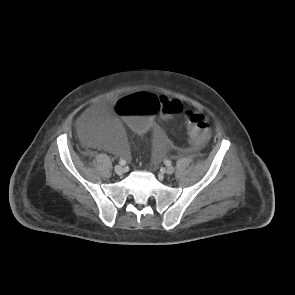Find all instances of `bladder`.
<instances>
[{"mask_svg":"<svg viewBox=\"0 0 295 295\" xmlns=\"http://www.w3.org/2000/svg\"><path fill=\"white\" fill-rule=\"evenodd\" d=\"M77 130L86 142L105 149L116 158L122 159L129 154L127 136L114 114L105 106L86 107L78 116Z\"/></svg>","mask_w":295,"mask_h":295,"instance_id":"31cf9c89","label":"bladder"}]
</instances>
